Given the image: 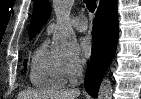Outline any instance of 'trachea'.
<instances>
[{
	"mask_svg": "<svg viewBox=\"0 0 141 99\" xmlns=\"http://www.w3.org/2000/svg\"><path fill=\"white\" fill-rule=\"evenodd\" d=\"M84 3L90 12H94L96 9V0H84Z\"/></svg>",
	"mask_w": 141,
	"mask_h": 99,
	"instance_id": "3493384b",
	"label": "trachea"
}]
</instances>
